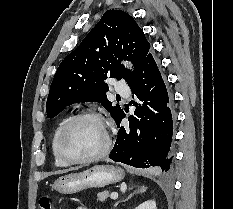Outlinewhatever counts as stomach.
Segmentation results:
<instances>
[{
  "instance_id": "stomach-1",
  "label": "stomach",
  "mask_w": 233,
  "mask_h": 209,
  "mask_svg": "<svg viewBox=\"0 0 233 209\" xmlns=\"http://www.w3.org/2000/svg\"><path fill=\"white\" fill-rule=\"evenodd\" d=\"M125 172L112 165H96L78 173H70L59 177L53 189L63 194H73L88 188H102L120 182Z\"/></svg>"
}]
</instances>
